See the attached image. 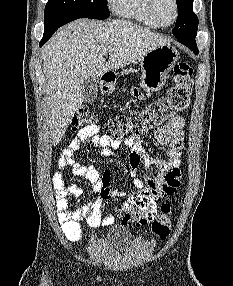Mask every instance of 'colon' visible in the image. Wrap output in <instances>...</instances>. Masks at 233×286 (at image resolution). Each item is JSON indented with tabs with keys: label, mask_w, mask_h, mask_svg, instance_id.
Segmentation results:
<instances>
[{
	"label": "colon",
	"mask_w": 233,
	"mask_h": 286,
	"mask_svg": "<svg viewBox=\"0 0 233 286\" xmlns=\"http://www.w3.org/2000/svg\"><path fill=\"white\" fill-rule=\"evenodd\" d=\"M193 69L187 62H178L174 66L173 85L168 89L166 95L148 105L141 111H134L127 116L110 118L105 126L114 139L138 136L147 129L162 123L176 112L185 109L189 104L192 90ZM98 115L87 107H81L72 121V128L96 125ZM150 205L148 198H135L131 202L129 217L134 221H141L145 216V208ZM172 224V208L169 204L161 205L160 212L152 221L153 234L164 240L170 232Z\"/></svg>",
	"instance_id": "1"
}]
</instances>
